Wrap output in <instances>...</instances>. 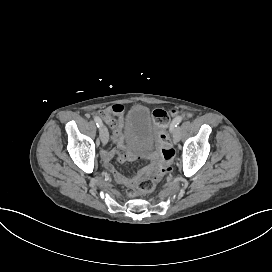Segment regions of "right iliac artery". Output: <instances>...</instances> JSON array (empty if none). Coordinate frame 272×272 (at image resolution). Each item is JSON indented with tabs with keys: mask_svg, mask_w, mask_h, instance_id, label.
<instances>
[{
	"mask_svg": "<svg viewBox=\"0 0 272 272\" xmlns=\"http://www.w3.org/2000/svg\"><path fill=\"white\" fill-rule=\"evenodd\" d=\"M94 121L97 127H101L103 125L102 120L99 117H94Z\"/></svg>",
	"mask_w": 272,
	"mask_h": 272,
	"instance_id": "82829eb1",
	"label": "right iliac artery"
}]
</instances>
